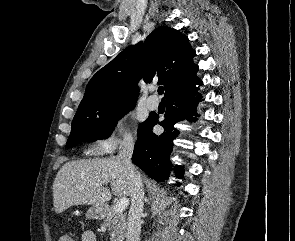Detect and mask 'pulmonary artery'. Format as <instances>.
I'll return each instance as SVG.
<instances>
[{
	"label": "pulmonary artery",
	"mask_w": 295,
	"mask_h": 241,
	"mask_svg": "<svg viewBox=\"0 0 295 241\" xmlns=\"http://www.w3.org/2000/svg\"><path fill=\"white\" fill-rule=\"evenodd\" d=\"M146 104L149 109L154 110L158 107V100L155 96H150L147 98Z\"/></svg>",
	"instance_id": "obj_1"
}]
</instances>
